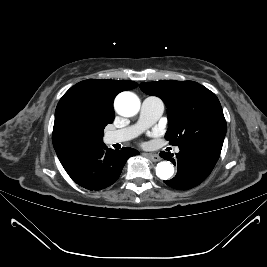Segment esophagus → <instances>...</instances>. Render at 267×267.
Instances as JSON below:
<instances>
[{
	"label": "esophagus",
	"instance_id": "obj_1",
	"mask_svg": "<svg viewBox=\"0 0 267 267\" xmlns=\"http://www.w3.org/2000/svg\"><path fill=\"white\" fill-rule=\"evenodd\" d=\"M145 155H146L151 161H153V162H158V161H160V157H159V155H157V154L146 153Z\"/></svg>",
	"mask_w": 267,
	"mask_h": 267
}]
</instances>
